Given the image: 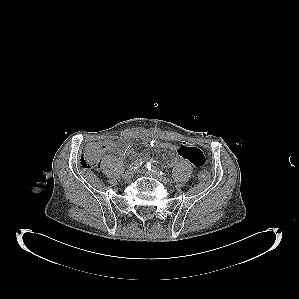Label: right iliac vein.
I'll use <instances>...</instances> for the list:
<instances>
[{
  "label": "right iliac vein",
  "mask_w": 299,
  "mask_h": 299,
  "mask_svg": "<svg viewBox=\"0 0 299 299\" xmlns=\"http://www.w3.org/2000/svg\"><path fill=\"white\" fill-rule=\"evenodd\" d=\"M133 174H134L133 170L129 169L122 175V178L125 181H130L133 177Z\"/></svg>",
  "instance_id": "1"
}]
</instances>
